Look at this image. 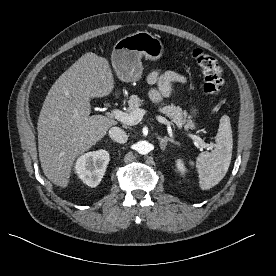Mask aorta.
Masks as SVG:
<instances>
[{
	"label": "aorta",
	"instance_id": "1",
	"mask_svg": "<svg viewBox=\"0 0 276 276\" xmlns=\"http://www.w3.org/2000/svg\"><path fill=\"white\" fill-rule=\"evenodd\" d=\"M135 150L142 155H146L151 151V144L148 141L142 140L136 143Z\"/></svg>",
	"mask_w": 276,
	"mask_h": 276
}]
</instances>
